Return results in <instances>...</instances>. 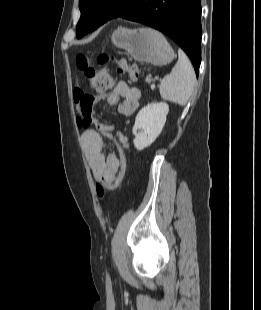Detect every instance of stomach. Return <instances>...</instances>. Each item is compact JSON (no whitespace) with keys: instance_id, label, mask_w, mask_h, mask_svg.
Masks as SVG:
<instances>
[{"instance_id":"obj_1","label":"stomach","mask_w":261,"mask_h":310,"mask_svg":"<svg viewBox=\"0 0 261 310\" xmlns=\"http://www.w3.org/2000/svg\"><path fill=\"white\" fill-rule=\"evenodd\" d=\"M112 43L126 50L136 61L166 65L175 53L161 33L150 28L127 29L118 27L111 36Z\"/></svg>"}]
</instances>
